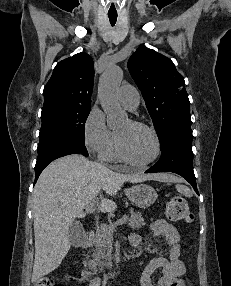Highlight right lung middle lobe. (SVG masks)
Instances as JSON below:
<instances>
[{
    "mask_svg": "<svg viewBox=\"0 0 231 286\" xmlns=\"http://www.w3.org/2000/svg\"><path fill=\"white\" fill-rule=\"evenodd\" d=\"M90 109L91 106L63 103L43 106L38 148L60 139L85 143L84 128Z\"/></svg>",
    "mask_w": 231,
    "mask_h": 286,
    "instance_id": "obj_1",
    "label": "right lung middle lobe"
}]
</instances>
